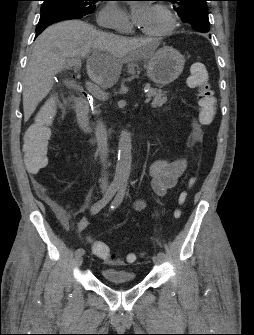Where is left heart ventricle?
Wrapping results in <instances>:
<instances>
[{"instance_id":"1","label":"left heart ventricle","mask_w":254,"mask_h":335,"mask_svg":"<svg viewBox=\"0 0 254 335\" xmlns=\"http://www.w3.org/2000/svg\"><path fill=\"white\" fill-rule=\"evenodd\" d=\"M167 25L168 19L166 16L157 8L153 7L151 14L142 29L153 33L162 31Z\"/></svg>"}]
</instances>
